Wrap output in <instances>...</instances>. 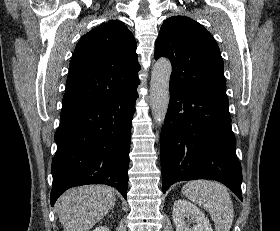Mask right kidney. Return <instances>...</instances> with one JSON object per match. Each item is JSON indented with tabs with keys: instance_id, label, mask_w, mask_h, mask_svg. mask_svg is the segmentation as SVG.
<instances>
[{
	"instance_id": "ca27d5eb",
	"label": "right kidney",
	"mask_w": 280,
	"mask_h": 231,
	"mask_svg": "<svg viewBox=\"0 0 280 231\" xmlns=\"http://www.w3.org/2000/svg\"><path fill=\"white\" fill-rule=\"evenodd\" d=\"M93 231H109V227H106V225H99V227H95Z\"/></svg>"
}]
</instances>
